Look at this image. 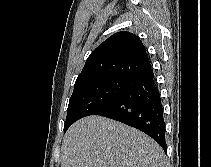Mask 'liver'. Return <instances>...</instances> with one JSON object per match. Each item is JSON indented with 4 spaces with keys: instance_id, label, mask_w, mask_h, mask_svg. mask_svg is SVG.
<instances>
[{
    "instance_id": "1",
    "label": "liver",
    "mask_w": 211,
    "mask_h": 167,
    "mask_svg": "<svg viewBox=\"0 0 211 167\" xmlns=\"http://www.w3.org/2000/svg\"><path fill=\"white\" fill-rule=\"evenodd\" d=\"M61 167H166V157L143 132L93 115L67 130L61 146Z\"/></svg>"
}]
</instances>
